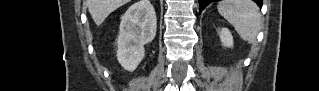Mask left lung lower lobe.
Segmentation results:
<instances>
[{
    "label": "left lung lower lobe",
    "mask_w": 319,
    "mask_h": 91,
    "mask_svg": "<svg viewBox=\"0 0 319 91\" xmlns=\"http://www.w3.org/2000/svg\"><path fill=\"white\" fill-rule=\"evenodd\" d=\"M213 0H199V6H200V13L201 11L212 2ZM254 2H256L259 7L262 6V0H253Z\"/></svg>",
    "instance_id": "left-lung-lower-lobe-1"
}]
</instances>
